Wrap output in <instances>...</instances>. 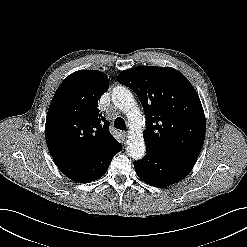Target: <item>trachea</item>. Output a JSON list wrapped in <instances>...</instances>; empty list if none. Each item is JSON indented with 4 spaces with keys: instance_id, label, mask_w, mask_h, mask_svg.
<instances>
[{
    "instance_id": "obj_1",
    "label": "trachea",
    "mask_w": 247,
    "mask_h": 247,
    "mask_svg": "<svg viewBox=\"0 0 247 247\" xmlns=\"http://www.w3.org/2000/svg\"><path fill=\"white\" fill-rule=\"evenodd\" d=\"M114 127L119 130H124L126 128L124 119H122L121 117L116 118L114 121Z\"/></svg>"
}]
</instances>
